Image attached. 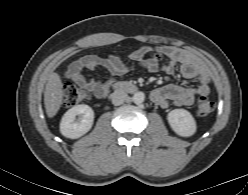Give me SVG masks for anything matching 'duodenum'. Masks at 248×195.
Masks as SVG:
<instances>
[{"label":"duodenum","instance_id":"1","mask_svg":"<svg viewBox=\"0 0 248 195\" xmlns=\"http://www.w3.org/2000/svg\"><path fill=\"white\" fill-rule=\"evenodd\" d=\"M115 88H122L127 91L134 92L136 90L135 86L130 84V83H120V84H115Z\"/></svg>","mask_w":248,"mask_h":195}]
</instances>
